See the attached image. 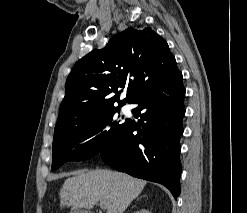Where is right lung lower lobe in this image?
<instances>
[{"mask_svg": "<svg viewBox=\"0 0 247 213\" xmlns=\"http://www.w3.org/2000/svg\"><path fill=\"white\" fill-rule=\"evenodd\" d=\"M184 97L182 74L177 67L141 89L129 102L138 105L132 112L140 117V126L127 120L114 147L100 153L105 163L134 177L163 184L176 199L180 194Z\"/></svg>", "mask_w": 247, "mask_h": 213, "instance_id": "98d812e1", "label": "right lung lower lobe"}]
</instances>
